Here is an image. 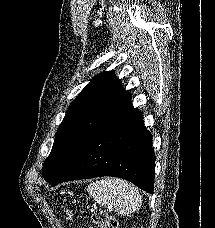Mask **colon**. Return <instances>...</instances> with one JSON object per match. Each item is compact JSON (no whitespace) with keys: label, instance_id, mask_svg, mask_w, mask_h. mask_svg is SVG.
<instances>
[{"label":"colon","instance_id":"obj_1","mask_svg":"<svg viewBox=\"0 0 215 228\" xmlns=\"http://www.w3.org/2000/svg\"><path fill=\"white\" fill-rule=\"evenodd\" d=\"M93 221L97 228H117L114 218L105 210H96L93 215Z\"/></svg>","mask_w":215,"mask_h":228}]
</instances>
